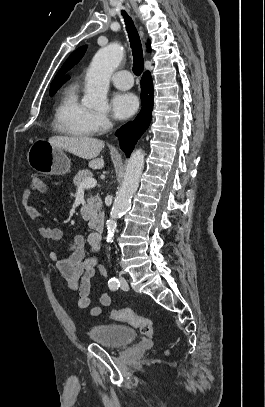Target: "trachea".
Returning <instances> with one entry per match:
<instances>
[{
    "label": "trachea",
    "mask_w": 265,
    "mask_h": 407,
    "mask_svg": "<svg viewBox=\"0 0 265 407\" xmlns=\"http://www.w3.org/2000/svg\"><path fill=\"white\" fill-rule=\"evenodd\" d=\"M125 18L126 29L128 32L132 52H133V72L136 76H139L144 69V59L142 45L140 41L139 34L133 24L132 19L126 14L125 11L122 12Z\"/></svg>",
    "instance_id": "3493384b"
}]
</instances>
